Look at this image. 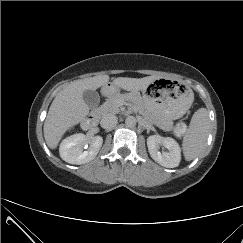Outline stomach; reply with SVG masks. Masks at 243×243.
I'll return each instance as SVG.
<instances>
[{
  "label": "stomach",
  "mask_w": 243,
  "mask_h": 243,
  "mask_svg": "<svg viewBox=\"0 0 243 243\" xmlns=\"http://www.w3.org/2000/svg\"><path fill=\"white\" fill-rule=\"evenodd\" d=\"M103 91L111 95L113 86L106 84ZM142 100L147 111L154 116L173 121L188 111L194 101V93L191 88L182 86L181 83L160 78L142 91Z\"/></svg>",
  "instance_id": "stomach-1"
}]
</instances>
